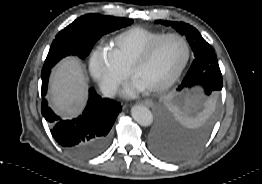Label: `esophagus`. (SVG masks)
<instances>
[{
    "label": "esophagus",
    "mask_w": 262,
    "mask_h": 184,
    "mask_svg": "<svg viewBox=\"0 0 262 184\" xmlns=\"http://www.w3.org/2000/svg\"><path fill=\"white\" fill-rule=\"evenodd\" d=\"M140 104H143L145 106H148V107H152L153 106V101L150 100V99H145V100H142L139 102Z\"/></svg>",
    "instance_id": "esophagus-1"
}]
</instances>
